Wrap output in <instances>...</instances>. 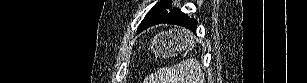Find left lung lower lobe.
<instances>
[{
	"mask_svg": "<svg viewBox=\"0 0 307 83\" xmlns=\"http://www.w3.org/2000/svg\"><path fill=\"white\" fill-rule=\"evenodd\" d=\"M159 23L180 25V26H183V27L190 29L193 32H196V27H197V21L190 19L188 17V15L181 12L179 9L174 8V9H171L169 14L165 18H163L162 20H160L156 23H151L150 25L144 26L142 28H139L137 30V32H141L142 30H144V29H146L150 26L159 24Z\"/></svg>",
	"mask_w": 307,
	"mask_h": 83,
	"instance_id": "left-lung-lower-lobe-1",
	"label": "left lung lower lobe"
}]
</instances>
